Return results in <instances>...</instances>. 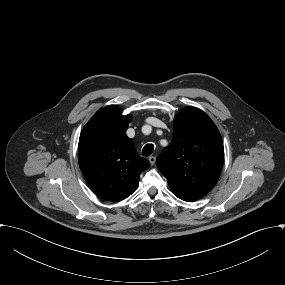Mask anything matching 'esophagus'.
Segmentation results:
<instances>
[{"instance_id":"esophagus-1","label":"esophagus","mask_w":285,"mask_h":285,"mask_svg":"<svg viewBox=\"0 0 285 285\" xmlns=\"http://www.w3.org/2000/svg\"><path fill=\"white\" fill-rule=\"evenodd\" d=\"M148 160L150 161L151 165H154L155 161H156V157L155 156H150Z\"/></svg>"}]
</instances>
